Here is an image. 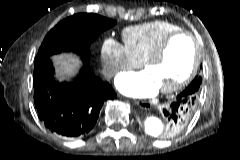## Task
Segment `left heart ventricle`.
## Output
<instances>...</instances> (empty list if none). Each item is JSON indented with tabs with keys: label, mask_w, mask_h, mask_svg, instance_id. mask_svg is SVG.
I'll return each mask as SVG.
<instances>
[{
	"label": "left heart ventricle",
	"mask_w": 240,
	"mask_h": 160,
	"mask_svg": "<svg viewBox=\"0 0 240 160\" xmlns=\"http://www.w3.org/2000/svg\"><path fill=\"white\" fill-rule=\"evenodd\" d=\"M194 48L185 36L174 38L167 46L163 57L146 67L159 88L173 85L184 78L194 62Z\"/></svg>",
	"instance_id": "b2bd125f"
}]
</instances>
